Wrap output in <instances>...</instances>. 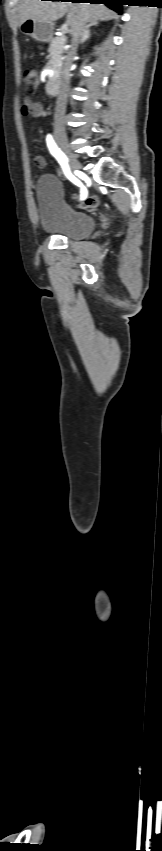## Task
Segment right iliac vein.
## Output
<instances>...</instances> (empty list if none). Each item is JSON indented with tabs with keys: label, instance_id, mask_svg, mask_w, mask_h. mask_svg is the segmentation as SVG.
Instances as JSON below:
<instances>
[{
	"label": "right iliac vein",
	"instance_id": "right-iliac-vein-1",
	"mask_svg": "<svg viewBox=\"0 0 162 851\" xmlns=\"http://www.w3.org/2000/svg\"><path fill=\"white\" fill-rule=\"evenodd\" d=\"M58 143H59L60 147L62 148V150L65 152V154L68 158L69 167H70L71 170H73L72 173L75 175L77 173L75 170H78L79 167H80L76 156L71 152L69 145H68L66 140L59 139Z\"/></svg>",
	"mask_w": 162,
	"mask_h": 851
}]
</instances>
